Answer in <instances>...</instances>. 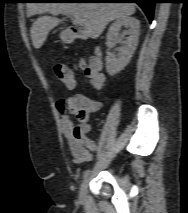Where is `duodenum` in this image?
Wrapping results in <instances>:
<instances>
[{"mask_svg": "<svg viewBox=\"0 0 188 213\" xmlns=\"http://www.w3.org/2000/svg\"><path fill=\"white\" fill-rule=\"evenodd\" d=\"M86 38V33L82 30H77V29H70V40L71 41H76L80 39H85ZM91 62L95 65H100L101 64V53L100 49L98 47L95 48L93 57L91 59Z\"/></svg>", "mask_w": 188, "mask_h": 213, "instance_id": "obj_1", "label": "duodenum"}]
</instances>
